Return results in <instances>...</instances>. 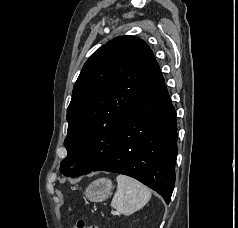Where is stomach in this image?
<instances>
[{
	"mask_svg": "<svg viewBox=\"0 0 238 228\" xmlns=\"http://www.w3.org/2000/svg\"><path fill=\"white\" fill-rule=\"evenodd\" d=\"M112 190L111 180L100 178L89 184L84 194L92 202H102L112 194Z\"/></svg>",
	"mask_w": 238,
	"mask_h": 228,
	"instance_id": "1",
	"label": "stomach"
}]
</instances>
